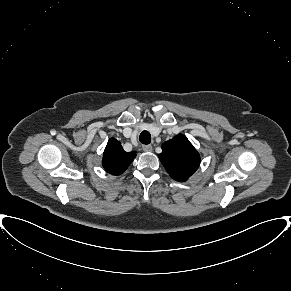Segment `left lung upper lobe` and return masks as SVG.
Returning a JSON list of instances; mask_svg holds the SVG:
<instances>
[{
	"label": "left lung upper lobe",
	"instance_id": "1",
	"mask_svg": "<svg viewBox=\"0 0 291 291\" xmlns=\"http://www.w3.org/2000/svg\"><path fill=\"white\" fill-rule=\"evenodd\" d=\"M158 157L169 175L179 182L186 181L200 164L198 152L182 134L162 144V153Z\"/></svg>",
	"mask_w": 291,
	"mask_h": 291
}]
</instances>
